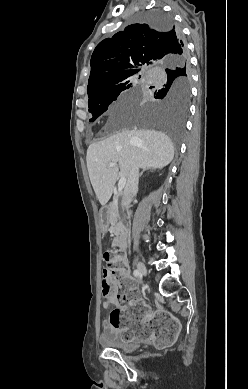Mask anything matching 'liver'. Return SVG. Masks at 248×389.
Returning <instances> with one entry per match:
<instances>
[{"mask_svg": "<svg viewBox=\"0 0 248 389\" xmlns=\"http://www.w3.org/2000/svg\"><path fill=\"white\" fill-rule=\"evenodd\" d=\"M174 157L171 139L162 132L148 129L123 130L87 149V168L96 197L104 206L112 196L118 176L128 177L133 165L139 168H163ZM110 163H119L110 167Z\"/></svg>", "mask_w": 248, "mask_h": 389, "instance_id": "1", "label": "liver"}]
</instances>
